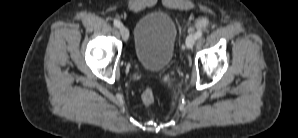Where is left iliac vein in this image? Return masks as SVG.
<instances>
[{
  "instance_id": "1",
  "label": "left iliac vein",
  "mask_w": 298,
  "mask_h": 138,
  "mask_svg": "<svg viewBox=\"0 0 298 138\" xmlns=\"http://www.w3.org/2000/svg\"><path fill=\"white\" fill-rule=\"evenodd\" d=\"M196 39L197 38H196L195 34H190L186 38V46H187V48H191L195 44Z\"/></svg>"
}]
</instances>
